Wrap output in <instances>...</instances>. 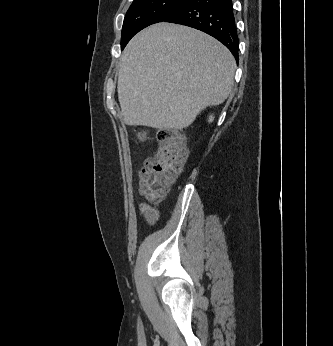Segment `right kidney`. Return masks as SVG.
<instances>
[{"label": "right kidney", "instance_id": "right-kidney-1", "mask_svg": "<svg viewBox=\"0 0 333 346\" xmlns=\"http://www.w3.org/2000/svg\"><path fill=\"white\" fill-rule=\"evenodd\" d=\"M213 119H214V117L211 115V116L209 117V122H212Z\"/></svg>", "mask_w": 333, "mask_h": 346}]
</instances>
